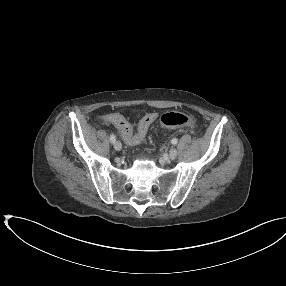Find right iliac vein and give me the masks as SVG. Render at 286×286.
<instances>
[{"instance_id": "63e3f726", "label": "right iliac vein", "mask_w": 286, "mask_h": 286, "mask_svg": "<svg viewBox=\"0 0 286 286\" xmlns=\"http://www.w3.org/2000/svg\"><path fill=\"white\" fill-rule=\"evenodd\" d=\"M114 148H115V150L120 151L122 149L121 142L120 141H115L114 142Z\"/></svg>"}]
</instances>
